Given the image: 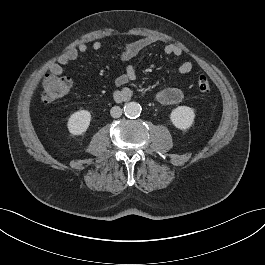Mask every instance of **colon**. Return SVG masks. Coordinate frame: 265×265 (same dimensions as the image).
<instances>
[{
	"mask_svg": "<svg viewBox=\"0 0 265 265\" xmlns=\"http://www.w3.org/2000/svg\"><path fill=\"white\" fill-rule=\"evenodd\" d=\"M70 80L59 75L49 74L43 80L42 101L45 103L54 102L65 96L70 90ZM198 89L201 92H208L211 88L209 80L200 76L197 81Z\"/></svg>",
	"mask_w": 265,
	"mask_h": 265,
	"instance_id": "obj_1",
	"label": "colon"
}]
</instances>
